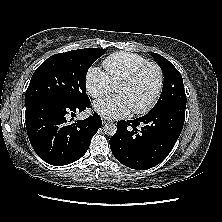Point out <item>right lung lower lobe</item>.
Instances as JSON below:
<instances>
[{"instance_id":"1","label":"right lung lower lobe","mask_w":222,"mask_h":222,"mask_svg":"<svg viewBox=\"0 0 222 222\" xmlns=\"http://www.w3.org/2000/svg\"><path fill=\"white\" fill-rule=\"evenodd\" d=\"M90 99L70 103L58 99H39L26 105V129L29 141L45 162L62 166L80 159L88 150L92 137L101 127V117L94 113L84 120L68 121L91 108Z\"/></svg>"}]
</instances>
